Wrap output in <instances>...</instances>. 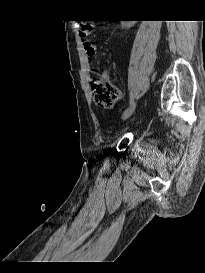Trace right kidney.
Segmentation results:
<instances>
[{
    "label": "right kidney",
    "instance_id": "ca27d5eb",
    "mask_svg": "<svg viewBox=\"0 0 205 273\" xmlns=\"http://www.w3.org/2000/svg\"><path fill=\"white\" fill-rule=\"evenodd\" d=\"M134 23H135V21H127L123 25L130 27V26L134 25Z\"/></svg>",
    "mask_w": 205,
    "mask_h": 273
}]
</instances>
